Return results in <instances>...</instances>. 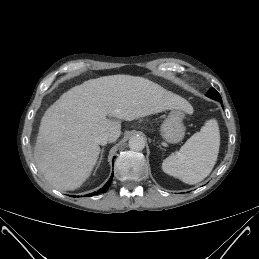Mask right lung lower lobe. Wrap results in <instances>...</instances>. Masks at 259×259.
<instances>
[{"instance_id": "right-lung-lower-lobe-1", "label": "right lung lower lobe", "mask_w": 259, "mask_h": 259, "mask_svg": "<svg viewBox=\"0 0 259 259\" xmlns=\"http://www.w3.org/2000/svg\"><path fill=\"white\" fill-rule=\"evenodd\" d=\"M113 163H114V161H113ZM112 178H113V175L110 177V179L108 180V182L106 183V185L103 188L98 190L96 193L94 192L92 194H89L88 196H93V195L98 194V193H105L107 191V189L109 188L110 184H111Z\"/></svg>"}]
</instances>
